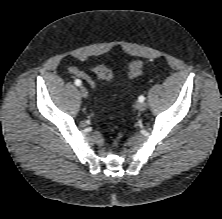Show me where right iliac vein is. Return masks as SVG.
I'll use <instances>...</instances> for the list:
<instances>
[{
    "instance_id": "obj_1",
    "label": "right iliac vein",
    "mask_w": 222,
    "mask_h": 219,
    "mask_svg": "<svg viewBox=\"0 0 222 219\" xmlns=\"http://www.w3.org/2000/svg\"><path fill=\"white\" fill-rule=\"evenodd\" d=\"M79 91L82 97L87 98L88 97V91L84 86L79 87Z\"/></svg>"
}]
</instances>
